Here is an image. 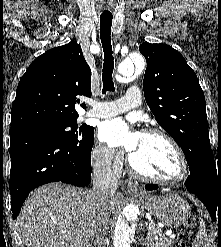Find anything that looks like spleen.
Returning a JSON list of instances; mask_svg holds the SVG:
<instances>
[{
  "label": "spleen",
  "mask_w": 221,
  "mask_h": 247,
  "mask_svg": "<svg viewBox=\"0 0 221 247\" xmlns=\"http://www.w3.org/2000/svg\"><path fill=\"white\" fill-rule=\"evenodd\" d=\"M194 246L195 247H207V233L205 229V224L201 223L200 224V231L198 232L196 239L194 241Z\"/></svg>",
  "instance_id": "spleen-1"
}]
</instances>
